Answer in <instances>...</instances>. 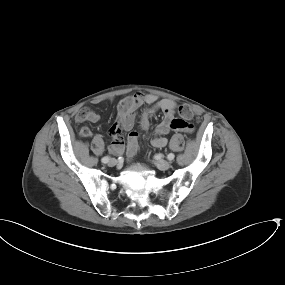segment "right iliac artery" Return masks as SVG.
<instances>
[{
  "instance_id": "82829eb1",
  "label": "right iliac artery",
  "mask_w": 285,
  "mask_h": 285,
  "mask_svg": "<svg viewBox=\"0 0 285 285\" xmlns=\"http://www.w3.org/2000/svg\"><path fill=\"white\" fill-rule=\"evenodd\" d=\"M101 161H102L103 163H108L109 157H108V156H105V157L102 158Z\"/></svg>"
}]
</instances>
